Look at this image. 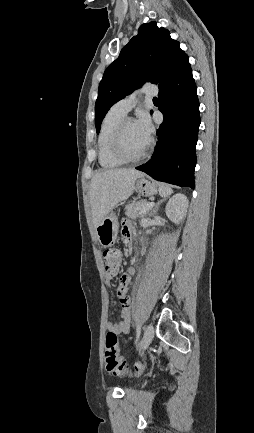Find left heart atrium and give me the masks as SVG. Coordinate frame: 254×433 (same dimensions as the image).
Wrapping results in <instances>:
<instances>
[{
  "instance_id": "1",
  "label": "left heart atrium",
  "mask_w": 254,
  "mask_h": 433,
  "mask_svg": "<svg viewBox=\"0 0 254 433\" xmlns=\"http://www.w3.org/2000/svg\"><path fill=\"white\" fill-rule=\"evenodd\" d=\"M135 124L138 130L140 131V133L145 138L149 139L152 133V124L147 113L145 112L140 113L137 120L135 121Z\"/></svg>"
}]
</instances>
